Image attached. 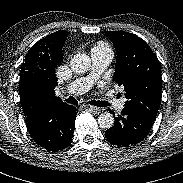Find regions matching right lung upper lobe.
Segmentation results:
<instances>
[{"label": "right lung upper lobe", "mask_w": 183, "mask_h": 183, "mask_svg": "<svg viewBox=\"0 0 183 183\" xmlns=\"http://www.w3.org/2000/svg\"><path fill=\"white\" fill-rule=\"evenodd\" d=\"M67 31H57L32 46L21 65L19 79L20 104L23 113L41 105L65 104L55 96L57 85L55 68L63 60L62 46Z\"/></svg>", "instance_id": "cb5924a9"}]
</instances>
